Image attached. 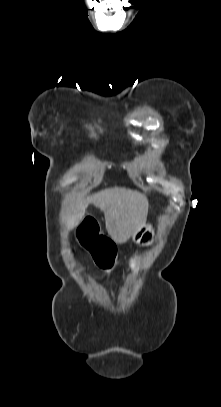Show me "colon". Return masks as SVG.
<instances>
[{
  "mask_svg": "<svg viewBox=\"0 0 221 407\" xmlns=\"http://www.w3.org/2000/svg\"><path fill=\"white\" fill-rule=\"evenodd\" d=\"M84 226L74 230V239H83L86 246L93 252L96 264L103 268L112 267L115 259L114 244L106 237H101L98 231L97 216H84Z\"/></svg>",
  "mask_w": 221,
  "mask_h": 407,
  "instance_id": "1",
  "label": "colon"
}]
</instances>
